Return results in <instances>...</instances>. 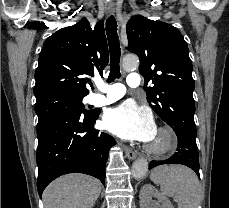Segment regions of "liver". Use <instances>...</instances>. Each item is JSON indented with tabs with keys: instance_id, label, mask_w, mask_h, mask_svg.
I'll list each match as a JSON object with an SVG mask.
<instances>
[{
	"instance_id": "1",
	"label": "liver",
	"mask_w": 229,
	"mask_h": 208,
	"mask_svg": "<svg viewBox=\"0 0 229 208\" xmlns=\"http://www.w3.org/2000/svg\"><path fill=\"white\" fill-rule=\"evenodd\" d=\"M100 192L99 180L82 174H67L47 186L42 200L44 208H93Z\"/></svg>"
}]
</instances>
